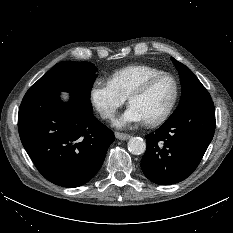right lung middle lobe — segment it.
Listing matches in <instances>:
<instances>
[{"label": "right lung middle lobe", "instance_id": "1", "mask_svg": "<svg viewBox=\"0 0 233 233\" xmlns=\"http://www.w3.org/2000/svg\"><path fill=\"white\" fill-rule=\"evenodd\" d=\"M97 68L89 62L63 61L43 75L28 91H67L88 111L92 112L90 93L97 77Z\"/></svg>", "mask_w": 233, "mask_h": 233}]
</instances>
